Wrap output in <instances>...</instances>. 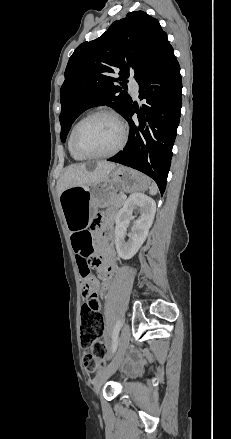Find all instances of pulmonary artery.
I'll return each mask as SVG.
<instances>
[{
    "mask_svg": "<svg viewBox=\"0 0 231 439\" xmlns=\"http://www.w3.org/2000/svg\"><path fill=\"white\" fill-rule=\"evenodd\" d=\"M128 87L130 88V90L133 92L134 95L137 94L139 85L136 80L133 79L129 80Z\"/></svg>",
    "mask_w": 231,
    "mask_h": 439,
    "instance_id": "e3ab8cb5",
    "label": "pulmonary artery"
}]
</instances>
